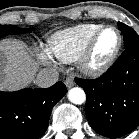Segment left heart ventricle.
<instances>
[{"instance_id":"b2bd125f","label":"left heart ventricle","mask_w":139,"mask_h":139,"mask_svg":"<svg viewBox=\"0 0 139 139\" xmlns=\"http://www.w3.org/2000/svg\"><path fill=\"white\" fill-rule=\"evenodd\" d=\"M118 43V36L114 30L104 31L98 38L91 62L94 65L104 62L113 53Z\"/></svg>"}]
</instances>
